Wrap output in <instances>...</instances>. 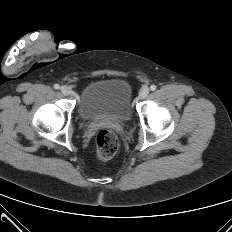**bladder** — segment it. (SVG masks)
<instances>
[{
    "label": "bladder",
    "instance_id": "31cf9c89",
    "mask_svg": "<svg viewBox=\"0 0 232 232\" xmlns=\"http://www.w3.org/2000/svg\"><path fill=\"white\" fill-rule=\"evenodd\" d=\"M84 120L108 118L129 120L133 115L132 90L123 78H107L88 84L80 93L77 104Z\"/></svg>",
    "mask_w": 232,
    "mask_h": 232
}]
</instances>
